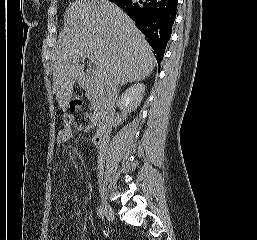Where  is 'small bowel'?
<instances>
[{"mask_svg":"<svg viewBox=\"0 0 257 240\" xmlns=\"http://www.w3.org/2000/svg\"><path fill=\"white\" fill-rule=\"evenodd\" d=\"M72 138V130L69 126H65L60 129L56 136V143L58 146H61L68 142Z\"/></svg>","mask_w":257,"mask_h":240,"instance_id":"c3829d8e","label":"small bowel"}]
</instances>
